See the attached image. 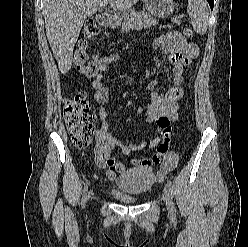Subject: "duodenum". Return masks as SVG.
<instances>
[{
	"instance_id": "1",
	"label": "duodenum",
	"mask_w": 248,
	"mask_h": 247,
	"mask_svg": "<svg viewBox=\"0 0 248 247\" xmlns=\"http://www.w3.org/2000/svg\"><path fill=\"white\" fill-rule=\"evenodd\" d=\"M98 20L102 25L106 26L111 22V17L106 13H101L98 15Z\"/></svg>"
}]
</instances>
